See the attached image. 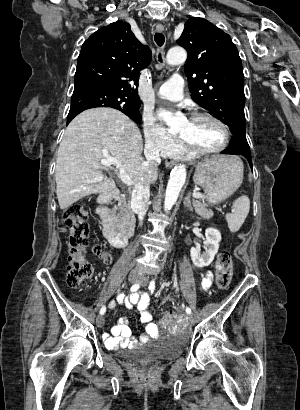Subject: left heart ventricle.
I'll list each match as a JSON object with an SVG mask.
<instances>
[{
	"label": "left heart ventricle",
	"mask_w": 300,
	"mask_h": 410,
	"mask_svg": "<svg viewBox=\"0 0 300 410\" xmlns=\"http://www.w3.org/2000/svg\"><path fill=\"white\" fill-rule=\"evenodd\" d=\"M179 135L200 150L215 149L224 140L221 127L208 119L186 121L180 129Z\"/></svg>",
	"instance_id": "1"
}]
</instances>
